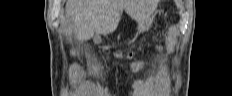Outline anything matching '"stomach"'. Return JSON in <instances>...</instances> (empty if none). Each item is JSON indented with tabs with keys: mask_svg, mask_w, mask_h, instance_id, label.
<instances>
[{
	"mask_svg": "<svg viewBox=\"0 0 232 96\" xmlns=\"http://www.w3.org/2000/svg\"><path fill=\"white\" fill-rule=\"evenodd\" d=\"M151 23H152V18L149 17V18L145 21V23H144L143 26H139V30H140V31H145V30L149 29L150 26H151Z\"/></svg>",
	"mask_w": 232,
	"mask_h": 96,
	"instance_id": "1",
	"label": "stomach"
}]
</instances>
